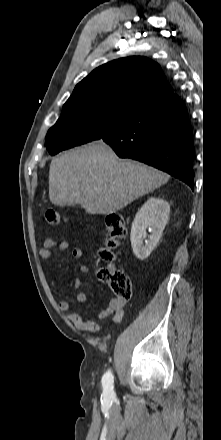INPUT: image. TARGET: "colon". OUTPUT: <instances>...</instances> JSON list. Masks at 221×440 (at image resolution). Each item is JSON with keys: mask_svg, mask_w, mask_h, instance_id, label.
<instances>
[{"mask_svg": "<svg viewBox=\"0 0 221 440\" xmlns=\"http://www.w3.org/2000/svg\"><path fill=\"white\" fill-rule=\"evenodd\" d=\"M48 223L59 225L62 218L54 210H48L45 214ZM106 225L108 230V239L106 246L99 251L102 260L111 262L115 258L114 249L119 242L126 236L127 229L124 217L116 212L107 215ZM98 277L111 287L115 296L119 299H130L132 297V282L128 274L123 271L112 269L111 267H102L98 270Z\"/></svg>", "mask_w": 221, "mask_h": 440, "instance_id": "obj_1", "label": "colon"}]
</instances>
